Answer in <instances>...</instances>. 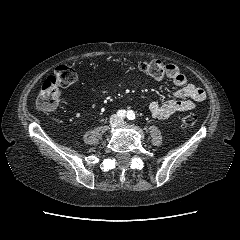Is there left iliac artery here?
I'll use <instances>...</instances> for the list:
<instances>
[{"label":"left iliac artery","mask_w":240,"mask_h":240,"mask_svg":"<svg viewBox=\"0 0 240 240\" xmlns=\"http://www.w3.org/2000/svg\"><path fill=\"white\" fill-rule=\"evenodd\" d=\"M127 119L128 120H134L135 119V113L132 110L128 111Z\"/></svg>","instance_id":"1"}]
</instances>
